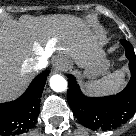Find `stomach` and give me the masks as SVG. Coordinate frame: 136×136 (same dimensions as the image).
<instances>
[{
    "label": "stomach",
    "mask_w": 136,
    "mask_h": 136,
    "mask_svg": "<svg viewBox=\"0 0 136 136\" xmlns=\"http://www.w3.org/2000/svg\"><path fill=\"white\" fill-rule=\"evenodd\" d=\"M64 61L66 64L71 63V60H69L67 57L64 58ZM75 62L77 65L81 66L80 63L77 61ZM81 67L84 69L85 76L94 78L103 74L108 69L109 63L105 58L104 51L103 53L98 51L92 56L91 59L84 61Z\"/></svg>",
    "instance_id": "stomach-1"
}]
</instances>
